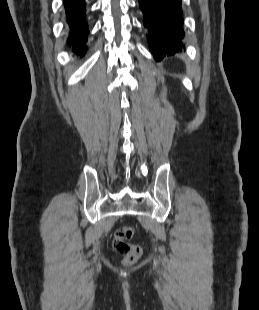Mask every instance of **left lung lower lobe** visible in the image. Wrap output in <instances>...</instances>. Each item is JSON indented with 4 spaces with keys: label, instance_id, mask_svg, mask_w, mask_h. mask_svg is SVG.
Instances as JSON below:
<instances>
[{
    "label": "left lung lower lobe",
    "instance_id": "obj_1",
    "mask_svg": "<svg viewBox=\"0 0 259 310\" xmlns=\"http://www.w3.org/2000/svg\"><path fill=\"white\" fill-rule=\"evenodd\" d=\"M149 47L155 59L173 55L184 47L181 0H139Z\"/></svg>",
    "mask_w": 259,
    "mask_h": 310
}]
</instances>
